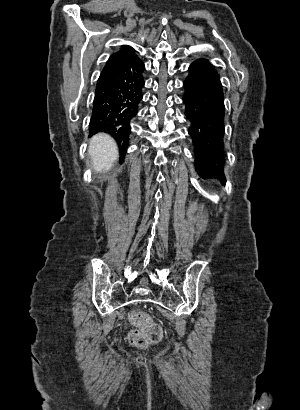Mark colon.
<instances>
[{"instance_id":"1","label":"colon","mask_w":300,"mask_h":410,"mask_svg":"<svg viewBox=\"0 0 300 410\" xmlns=\"http://www.w3.org/2000/svg\"><path fill=\"white\" fill-rule=\"evenodd\" d=\"M130 320L136 326V329L129 334V342L133 346L144 348L161 340L163 335L161 326L153 322L145 313L134 311L130 315Z\"/></svg>"}]
</instances>
